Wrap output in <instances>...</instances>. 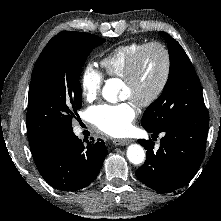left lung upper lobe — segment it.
Returning <instances> with one entry per match:
<instances>
[{
	"mask_svg": "<svg viewBox=\"0 0 221 221\" xmlns=\"http://www.w3.org/2000/svg\"><path fill=\"white\" fill-rule=\"evenodd\" d=\"M161 35L168 42L170 72L162 95L142 117L141 124L148 132H160L176 121H196L208 117L200 81L191 61L175 39L165 32Z\"/></svg>",
	"mask_w": 221,
	"mask_h": 221,
	"instance_id": "5c2ea615",
	"label": "left lung upper lobe"
}]
</instances>
